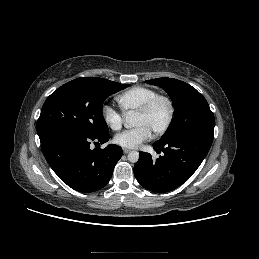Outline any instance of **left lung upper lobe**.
<instances>
[{
	"label": "left lung upper lobe",
	"mask_w": 259,
	"mask_h": 259,
	"mask_svg": "<svg viewBox=\"0 0 259 259\" xmlns=\"http://www.w3.org/2000/svg\"><path fill=\"white\" fill-rule=\"evenodd\" d=\"M146 83L162 87L170 96L175 109L173 126L160 140L186 133L214 137V114L206 99L194 87L166 77L147 80Z\"/></svg>",
	"instance_id": "5c2ea615"
}]
</instances>
